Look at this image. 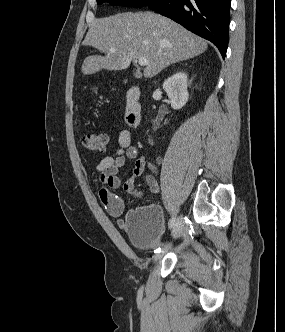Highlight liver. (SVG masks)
Here are the masks:
<instances>
[{
  "label": "liver",
  "mask_w": 285,
  "mask_h": 332,
  "mask_svg": "<svg viewBox=\"0 0 285 332\" xmlns=\"http://www.w3.org/2000/svg\"><path fill=\"white\" fill-rule=\"evenodd\" d=\"M105 56H89L82 73L90 75L101 69L123 70L131 61L145 58L144 77L152 78L170 64L204 53L207 41L178 23L153 12L118 13L93 21L83 42ZM114 48L115 53L109 50Z\"/></svg>",
  "instance_id": "liver-1"
}]
</instances>
